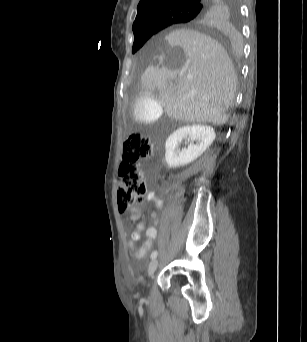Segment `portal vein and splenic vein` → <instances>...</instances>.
I'll list each match as a JSON object with an SVG mask.
<instances>
[{
	"label": "portal vein and splenic vein",
	"mask_w": 307,
	"mask_h": 342,
	"mask_svg": "<svg viewBox=\"0 0 307 342\" xmlns=\"http://www.w3.org/2000/svg\"><path fill=\"white\" fill-rule=\"evenodd\" d=\"M187 78H192V74H187ZM173 86V84H172Z\"/></svg>",
	"instance_id": "18ae733b"
}]
</instances>
